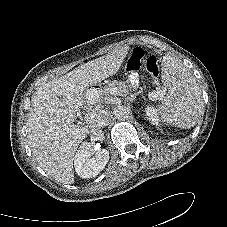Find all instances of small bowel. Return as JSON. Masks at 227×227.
<instances>
[{
	"instance_id": "obj_1",
	"label": "small bowel",
	"mask_w": 227,
	"mask_h": 227,
	"mask_svg": "<svg viewBox=\"0 0 227 227\" xmlns=\"http://www.w3.org/2000/svg\"><path fill=\"white\" fill-rule=\"evenodd\" d=\"M129 83L132 87H136L139 83V77L137 74H131L129 76Z\"/></svg>"
}]
</instances>
